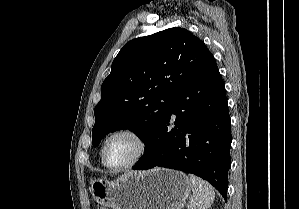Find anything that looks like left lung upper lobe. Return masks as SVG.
<instances>
[{
    "label": "left lung upper lobe",
    "instance_id": "obj_1",
    "mask_svg": "<svg viewBox=\"0 0 299 209\" xmlns=\"http://www.w3.org/2000/svg\"><path fill=\"white\" fill-rule=\"evenodd\" d=\"M213 58L184 28H169L126 43L101 86L94 109L92 144L109 132L129 129L147 146L174 94Z\"/></svg>",
    "mask_w": 299,
    "mask_h": 209
}]
</instances>
